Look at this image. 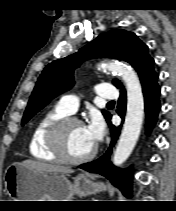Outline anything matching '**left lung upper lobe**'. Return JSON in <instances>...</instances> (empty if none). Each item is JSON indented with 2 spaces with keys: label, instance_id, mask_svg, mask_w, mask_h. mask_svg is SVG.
Returning <instances> with one entry per match:
<instances>
[{
  "label": "left lung upper lobe",
  "instance_id": "left-lung-upper-lobe-1",
  "mask_svg": "<svg viewBox=\"0 0 176 211\" xmlns=\"http://www.w3.org/2000/svg\"><path fill=\"white\" fill-rule=\"evenodd\" d=\"M100 57L116 58L130 63L138 72L141 83L157 75L153 68L154 60L148 54V46L134 33L118 29L101 34L78 52L53 61L45 67L30 97L22 125L49 101L74 85L73 71L84 60ZM113 83L124 90L118 80ZM103 114L106 120L111 116L105 111Z\"/></svg>",
  "mask_w": 176,
  "mask_h": 211
}]
</instances>
